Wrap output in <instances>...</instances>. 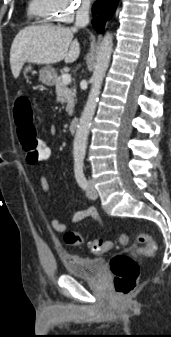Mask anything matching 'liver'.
Instances as JSON below:
<instances>
[{
  "instance_id": "obj_1",
  "label": "liver",
  "mask_w": 171,
  "mask_h": 337,
  "mask_svg": "<svg viewBox=\"0 0 171 337\" xmlns=\"http://www.w3.org/2000/svg\"><path fill=\"white\" fill-rule=\"evenodd\" d=\"M75 28L61 26H30L21 30L10 49V65L14 78H18L23 65L28 63L54 64L64 59L74 62L80 54Z\"/></svg>"
}]
</instances>
